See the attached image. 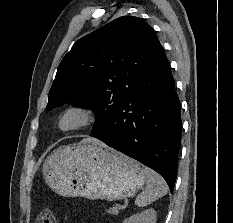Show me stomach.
Segmentation results:
<instances>
[{
    "label": "stomach",
    "mask_w": 233,
    "mask_h": 223,
    "mask_svg": "<svg viewBox=\"0 0 233 223\" xmlns=\"http://www.w3.org/2000/svg\"><path fill=\"white\" fill-rule=\"evenodd\" d=\"M146 167L95 141L61 145L43 165L44 179L64 197L125 199L142 189Z\"/></svg>",
    "instance_id": "stomach-1"
}]
</instances>
